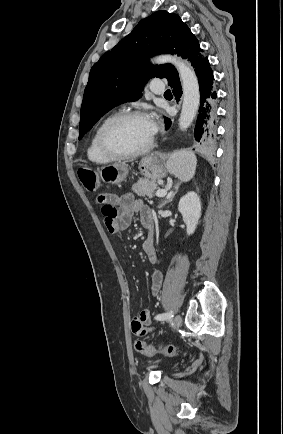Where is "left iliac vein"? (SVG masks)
Listing matches in <instances>:
<instances>
[{
  "label": "left iliac vein",
  "mask_w": 283,
  "mask_h": 434,
  "mask_svg": "<svg viewBox=\"0 0 283 434\" xmlns=\"http://www.w3.org/2000/svg\"><path fill=\"white\" fill-rule=\"evenodd\" d=\"M181 324H182V318H181V316L180 315H176L175 318H174L175 328L178 329L181 326Z\"/></svg>",
  "instance_id": "left-iliac-vein-1"
}]
</instances>
